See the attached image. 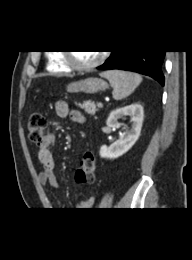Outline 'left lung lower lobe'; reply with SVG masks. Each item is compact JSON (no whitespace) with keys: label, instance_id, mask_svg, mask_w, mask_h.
Wrapping results in <instances>:
<instances>
[{"label":"left lung lower lobe","instance_id":"0a47b994","mask_svg":"<svg viewBox=\"0 0 192 260\" xmlns=\"http://www.w3.org/2000/svg\"><path fill=\"white\" fill-rule=\"evenodd\" d=\"M165 51H115L100 65V70L121 69L141 73L152 77L162 86L164 85V75L162 64Z\"/></svg>","mask_w":192,"mask_h":260}]
</instances>
